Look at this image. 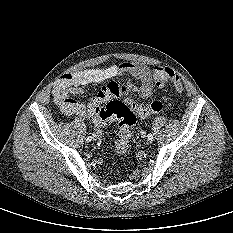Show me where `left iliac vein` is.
Segmentation results:
<instances>
[{"mask_svg": "<svg viewBox=\"0 0 233 233\" xmlns=\"http://www.w3.org/2000/svg\"><path fill=\"white\" fill-rule=\"evenodd\" d=\"M139 136L140 137H145L146 136V131L145 130H140L139 131Z\"/></svg>", "mask_w": 233, "mask_h": 233, "instance_id": "1", "label": "left iliac vein"}]
</instances>
